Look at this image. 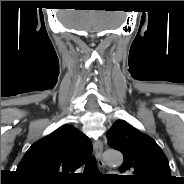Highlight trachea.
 I'll return each instance as SVG.
<instances>
[{
    "label": "trachea",
    "instance_id": "obj_1",
    "mask_svg": "<svg viewBox=\"0 0 184 184\" xmlns=\"http://www.w3.org/2000/svg\"><path fill=\"white\" fill-rule=\"evenodd\" d=\"M84 171L86 173H90V174H98L99 173L97 163H96V160L94 157H90L85 161Z\"/></svg>",
    "mask_w": 184,
    "mask_h": 184
}]
</instances>
